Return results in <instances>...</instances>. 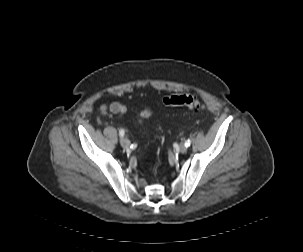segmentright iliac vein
<instances>
[{"label":"right iliac vein","mask_w":303,"mask_h":252,"mask_svg":"<svg viewBox=\"0 0 303 252\" xmlns=\"http://www.w3.org/2000/svg\"><path fill=\"white\" fill-rule=\"evenodd\" d=\"M120 143L123 148H129L130 146V141L127 138H121Z\"/></svg>","instance_id":"obj_1"}]
</instances>
